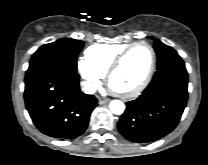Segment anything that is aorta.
<instances>
[{
    "instance_id": "1",
    "label": "aorta",
    "mask_w": 208,
    "mask_h": 165,
    "mask_svg": "<svg viewBox=\"0 0 208 165\" xmlns=\"http://www.w3.org/2000/svg\"><path fill=\"white\" fill-rule=\"evenodd\" d=\"M110 110L115 115H121L125 110V105L120 100H112L109 104Z\"/></svg>"
}]
</instances>
